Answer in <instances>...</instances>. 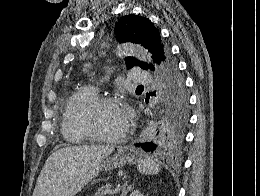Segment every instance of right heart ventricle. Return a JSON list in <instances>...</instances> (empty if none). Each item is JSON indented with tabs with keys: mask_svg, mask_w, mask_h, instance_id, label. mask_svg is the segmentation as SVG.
Listing matches in <instances>:
<instances>
[{
	"mask_svg": "<svg viewBox=\"0 0 260 196\" xmlns=\"http://www.w3.org/2000/svg\"><path fill=\"white\" fill-rule=\"evenodd\" d=\"M97 98V90L91 86L78 89L65 109L61 132L69 145H77L91 139L90 135L79 126L77 113L74 109L85 110L87 106Z\"/></svg>",
	"mask_w": 260,
	"mask_h": 196,
	"instance_id": "obj_1",
	"label": "right heart ventricle"
}]
</instances>
